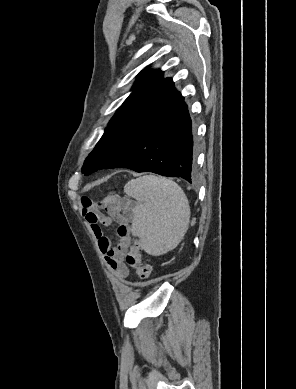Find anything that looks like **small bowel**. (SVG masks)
Instances as JSON below:
<instances>
[{
  "instance_id": "1",
  "label": "small bowel",
  "mask_w": 296,
  "mask_h": 389,
  "mask_svg": "<svg viewBox=\"0 0 296 389\" xmlns=\"http://www.w3.org/2000/svg\"><path fill=\"white\" fill-rule=\"evenodd\" d=\"M82 213L91 227L101 253L111 271L120 279L129 275V269L123 259L129 244V224L133 218L134 206L128 200L110 197L95 202L88 198L82 199ZM112 222L118 224V242L113 246L104 234L102 227H108Z\"/></svg>"
}]
</instances>
